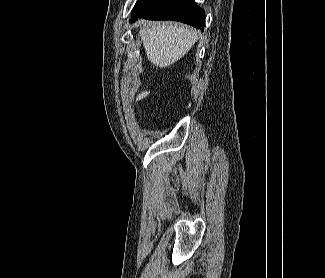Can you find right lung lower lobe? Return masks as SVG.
Segmentation results:
<instances>
[{
  "label": "right lung lower lobe",
  "instance_id": "right-lung-lower-lobe-1",
  "mask_svg": "<svg viewBox=\"0 0 325 278\" xmlns=\"http://www.w3.org/2000/svg\"><path fill=\"white\" fill-rule=\"evenodd\" d=\"M130 23L140 18L174 20L204 30L205 11L194 0H137Z\"/></svg>",
  "mask_w": 325,
  "mask_h": 278
}]
</instances>
